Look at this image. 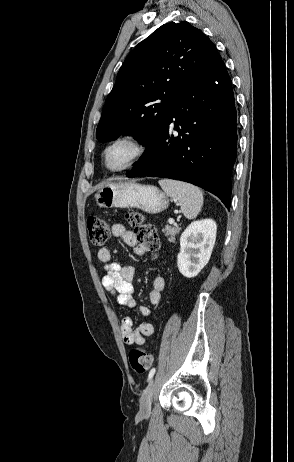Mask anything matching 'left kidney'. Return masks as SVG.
<instances>
[{
  "instance_id": "5707ae66",
  "label": "left kidney",
  "mask_w": 294,
  "mask_h": 462,
  "mask_svg": "<svg viewBox=\"0 0 294 462\" xmlns=\"http://www.w3.org/2000/svg\"><path fill=\"white\" fill-rule=\"evenodd\" d=\"M217 225L212 219L192 222L181 234L177 266L180 273L193 278L208 263L216 240Z\"/></svg>"
}]
</instances>
